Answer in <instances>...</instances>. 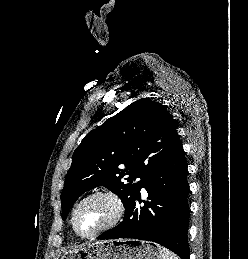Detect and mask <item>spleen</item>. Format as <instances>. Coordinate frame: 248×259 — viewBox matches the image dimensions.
Masks as SVG:
<instances>
[{
    "mask_svg": "<svg viewBox=\"0 0 248 259\" xmlns=\"http://www.w3.org/2000/svg\"><path fill=\"white\" fill-rule=\"evenodd\" d=\"M162 259H180L176 254L166 248H161Z\"/></svg>",
    "mask_w": 248,
    "mask_h": 259,
    "instance_id": "1",
    "label": "spleen"
}]
</instances>
